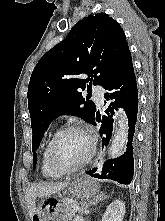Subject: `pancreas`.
Here are the masks:
<instances>
[{"mask_svg": "<svg viewBox=\"0 0 165 221\" xmlns=\"http://www.w3.org/2000/svg\"><path fill=\"white\" fill-rule=\"evenodd\" d=\"M75 203L65 201L64 202V214H63V221H71L72 218L75 216L76 211L73 209Z\"/></svg>", "mask_w": 165, "mask_h": 221, "instance_id": "1", "label": "pancreas"}]
</instances>
